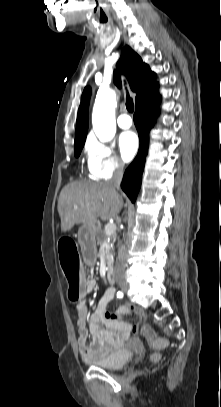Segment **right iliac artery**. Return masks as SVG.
Masks as SVG:
<instances>
[{"label":"right iliac artery","instance_id":"1","mask_svg":"<svg viewBox=\"0 0 221 407\" xmlns=\"http://www.w3.org/2000/svg\"><path fill=\"white\" fill-rule=\"evenodd\" d=\"M123 296V293L122 292H118L117 293V297H122Z\"/></svg>","mask_w":221,"mask_h":407}]
</instances>
